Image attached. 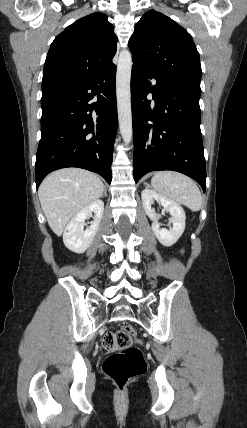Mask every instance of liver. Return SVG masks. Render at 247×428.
<instances>
[{
	"instance_id": "obj_1",
	"label": "liver",
	"mask_w": 247,
	"mask_h": 428,
	"mask_svg": "<svg viewBox=\"0 0 247 428\" xmlns=\"http://www.w3.org/2000/svg\"><path fill=\"white\" fill-rule=\"evenodd\" d=\"M103 191L104 185L96 174L66 168L49 174L41 183L38 195L50 228L61 236L68 221L98 200Z\"/></svg>"
}]
</instances>
